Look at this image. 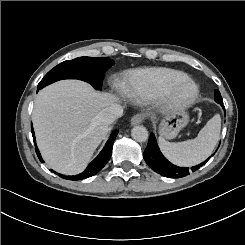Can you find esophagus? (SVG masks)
<instances>
[{
    "label": "esophagus",
    "instance_id": "34e87169",
    "mask_svg": "<svg viewBox=\"0 0 245 245\" xmlns=\"http://www.w3.org/2000/svg\"><path fill=\"white\" fill-rule=\"evenodd\" d=\"M145 120V115L144 114H136L132 117L131 119V124L132 125H138L140 123H142Z\"/></svg>",
    "mask_w": 245,
    "mask_h": 245
}]
</instances>
